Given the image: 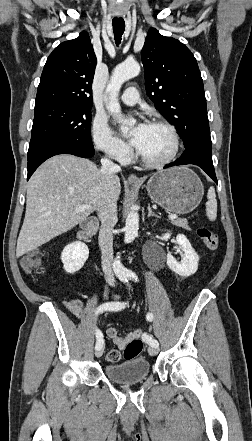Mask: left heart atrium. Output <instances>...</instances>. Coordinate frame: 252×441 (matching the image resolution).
I'll list each match as a JSON object with an SVG mask.
<instances>
[{"instance_id":"left-heart-atrium-1","label":"left heart atrium","mask_w":252,"mask_h":441,"mask_svg":"<svg viewBox=\"0 0 252 441\" xmlns=\"http://www.w3.org/2000/svg\"><path fill=\"white\" fill-rule=\"evenodd\" d=\"M147 124L139 123L130 139L131 144L139 149L142 145L143 135L146 130Z\"/></svg>"}]
</instances>
